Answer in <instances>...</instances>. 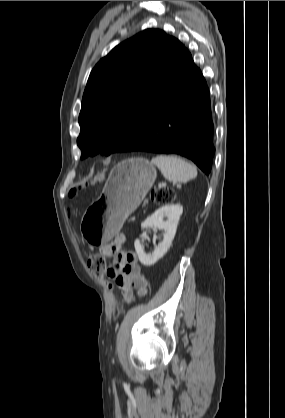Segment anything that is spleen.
<instances>
[{
	"mask_svg": "<svg viewBox=\"0 0 285 418\" xmlns=\"http://www.w3.org/2000/svg\"><path fill=\"white\" fill-rule=\"evenodd\" d=\"M151 163L159 168L166 179L173 182L186 183L197 176L196 167L177 156L158 155L152 158Z\"/></svg>",
	"mask_w": 285,
	"mask_h": 418,
	"instance_id": "spleen-1",
	"label": "spleen"
}]
</instances>
